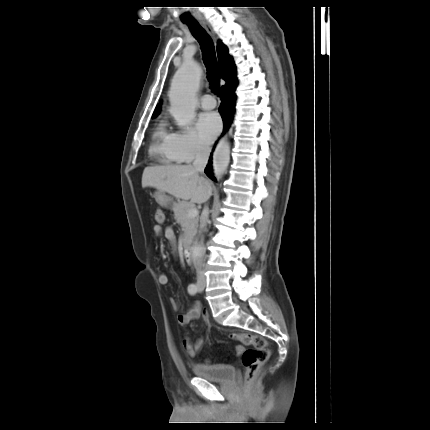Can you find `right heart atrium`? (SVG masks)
Masks as SVG:
<instances>
[{
  "label": "right heart atrium",
  "mask_w": 430,
  "mask_h": 430,
  "mask_svg": "<svg viewBox=\"0 0 430 430\" xmlns=\"http://www.w3.org/2000/svg\"><path fill=\"white\" fill-rule=\"evenodd\" d=\"M172 149L180 162L188 163L195 158L206 156L209 147L203 143L192 127L179 129L172 133Z\"/></svg>",
  "instance_id": "1"
}]
</instances>
